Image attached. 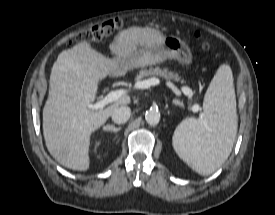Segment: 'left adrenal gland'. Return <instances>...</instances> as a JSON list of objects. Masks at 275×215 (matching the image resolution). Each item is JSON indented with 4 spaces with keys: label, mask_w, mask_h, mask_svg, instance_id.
I'll list each match as a JSON object with an SVG mask.
<instances>
[{
    "label": "left adrenal gland",
    "mask_w": 275,
    "mask_h": 215,
    "mask_svg": "<svg viewBox=\"0 0 275 215\" xmlns=\"http://www.w3.org/2000/svg\"><path fill=\"white\" fill-rule=\"evenodd\" d=\"M173 104L176 106H182V103L179 100H173Z\"/></svg>",
    "instance_id": "left-adrenal-gland-1"
}]
</instances>
